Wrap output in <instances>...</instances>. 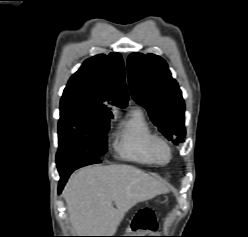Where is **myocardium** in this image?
Returning <instances> with one entry per match:
<instances>
[{
  "label": "myocardium",
  "instance_id": "1",
  "mask_svg": "<svg viewBox=\"0 0 248 237\" xmlns=\"http://www.w3.org/2000/svg\"><path fill=\"white\" fill-rule=\"evenodd\" d=\"M161 145L163 146L166 151H167V159L166 160H161L157 157L156 155V146ZM148 153L153 161L154 164L159 165V166H166L168 165L173 157V150L168 142V140L160 135H152L148 141Z\"/></svg>",
  "mask_w": 248,
  "mask_h": 237
}]
</instances>
